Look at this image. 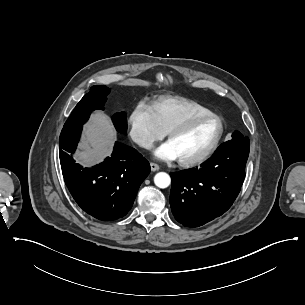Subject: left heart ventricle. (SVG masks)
Here are the masks:
<instances>
[{
  "mask_svg": "<svg viewBox=\"0 0 305 305\" xmlns=\"http://www.w3.org/2000/svg\"><path fill=\"white\" fill-rule=\"evenodd\" d=\"M221 122L217 118L191 125L185 131L175 135L171 144L179 159L194 158L205 152L218 138Z\"/></svg>",
  "mask_w": 305,
  "mask_h": 305,
  "instance_id": "obj_1",
  "label": "left heart ventricle"
}]
</instances>
